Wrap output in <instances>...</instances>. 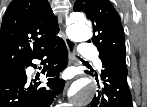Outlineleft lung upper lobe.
Returning a JSON list of instances; mask_svg holds the SVG:
<instances>
[{
    "mask_svg": "<svg viewBox=\"0 0 147 107\" xmlns=\"http://www.w3.org/2000/svg\"><path fill=\"white\" fill-rule=\"evenodd\" d=\"M74 11H82L93 23L92 42L99 57L113 52H124V30L118 13L109 0H76Z\"/></svg>",
    "mask_w": 147,
    "mask_h": 107,
    "instance_id": "left-lung-upper-lobe-1",
    "label": "left lung upper lobe"
}]
</instances>
